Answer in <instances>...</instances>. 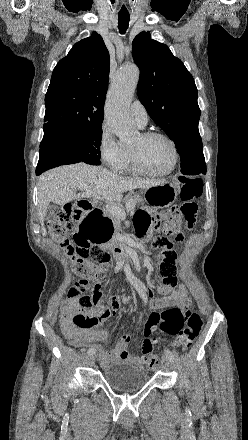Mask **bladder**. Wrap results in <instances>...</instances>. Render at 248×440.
Returning a JSON list of instances; mask_svg holds the SVG:
<instances>
[{
    "mask_svg": "<svg viewBox=\"0 0 248 440\" xmlns=\"http://www.w3.org/2000/svg\"><path fill=\"white\" fill-rule=\"evenodd\" d=\"M104 381L114 390L127 391L144 386L149 380V372L142 366L127 361H117L102 371Z\"/></svg>",
    "mask_w": 248,
    "mask_h": 440,
    "instance_id": "31cf9c89",
    "label": "bladder"
}]
</instances>
